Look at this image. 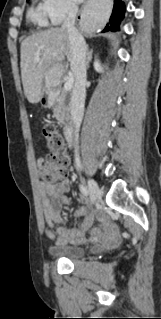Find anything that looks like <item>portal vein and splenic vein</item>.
I'll return each mask as SVG.
<instances>
[{"mask_svg":"<svg viewBox=\"0 0 161 319\" xmlns=\"http://www.w3.org/2000/svg\"><path fill=\"white\" fill-rule=\"evenodd\" d=\"M39 59V57L37 58ZM69 79L65 82L64 84V91H70L71 88H72V85H73V77H72V74L70 73L69 74Z\"/></svg>","mask_w":161,"mask_h":319,"instance_id":"obj_1","label":"portal vein and splenic vein"}]
</instances>
